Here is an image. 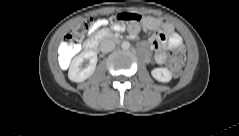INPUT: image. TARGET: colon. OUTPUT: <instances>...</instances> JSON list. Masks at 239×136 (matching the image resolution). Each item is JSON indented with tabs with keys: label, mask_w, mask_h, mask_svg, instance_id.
<instances>
[{
	"label": "colon",
	"mask_w": 239,
	"mask_h": 136,
	"mask_svg": "<svg viewBox=\"0 0 239 136\" xmlns=\"http://www.w3.org/2000/svg\"><path fill=\"white\" fill-rule=\"evenodd\" d=\"M93 19L83 20L61 44V54L63 59H68L78 50L79 41L95 28ZM186 52L183 47H177L170 51L168 56V66L174 76H179L183 69Z\"/></svg>",
	"instance_id": "1"
}]
</instances>
